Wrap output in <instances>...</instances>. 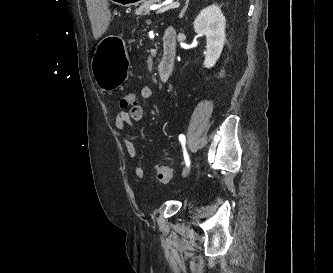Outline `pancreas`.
Instances as JSON below:
<instances>
[{
  "mask_svg": "<svg viewBox=\"0 0 333 273\" xmlns=\"http://www.w3.org/2000/svg\"><path fill=\"white\" fill-rule=\"evenodd\" d=\"M158 2H161V0H146L139 8L135 10L137 18L148 15L150 12V6Z\"/></svg>",
  "mask_w": 333,
  "mask_h": 273,
  "instance_id": "1",
  "label": "pancreas"
}]
</instances>
